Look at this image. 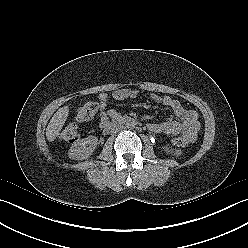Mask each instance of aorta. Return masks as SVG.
Here are the masks:
<instances>
[{
	"label": "aorta",
	"mask_w": 248,
	"mask_h": 248,
	"mask_svg": "<svg viewBox=\"0 0 248 248\" xmlns=\"http://www.w3.org/2000/svg\"><path fill=\"white\" fill-rule=\"evenodd\" d=\"M136 125H137V123L134 119L128 120L125 124L127 129H134Z\"/></svg>",
	"instance_id": "1"
}]
</instances>
